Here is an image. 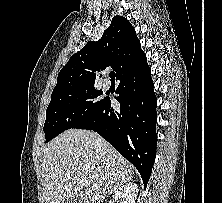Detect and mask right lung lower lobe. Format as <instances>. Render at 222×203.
I'll list each match as a JSON object with an SVG mask.
<instances>
[{
  "label": "right lung lower lobe",
  "mask_w": 222,
  "mask_h": 203,
  "mask_svg": "<svg viewBox=\"0 0 222 203\" xmlns=\"http://www.w3.org/2000/svg\"><path fill=\"white\" fill-rule=\"evenodd\" d=\"M115 110L109 98L72 128L93 130L139 171L147 186L156 157V96L146 61L120 74Z\"/></svg>",
  "instance_id": "right-lung-lower-lobe-1"
}]
</instances>
